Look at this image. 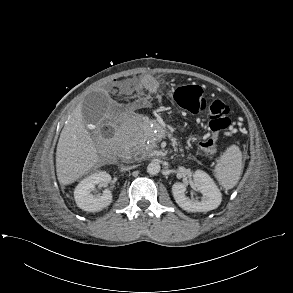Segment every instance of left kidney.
<instances>
[{"label": "left kidney", "mask_w": 293, "mask_h": 293, "mask_svg": "<svg viewBox=\"0 0 293 293\" xmlns=\"http://www.w3.org/2000/svg\"><path fill=\"white\" fill-rule=\"evenodd\" d=\"M193 180L198 190L203 194L201 201H193L185 195L186 185L176 182L172 193L176 203L188 212H207L216 209L222 200V195L214 180L204 171L196 170Z\"/></svg>", "instance_id": "left-kidney-1"}]
</instances>
